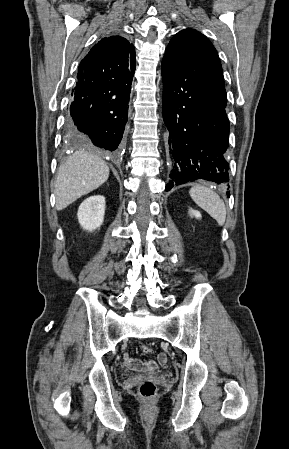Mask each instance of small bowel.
<instances>
[{
    "label": "small bowel",
    "mask_w": 289,
    "mask_h": 449,
    "mask_svg": "<svg viewBox=\"0 0 289 449\" xmlns=\"http://www.w3.org/2000/svg\"><path fill=\"white\" fill-rule=\"evenodd\" d=\"M168 355L166 354V352L161 351L158 354V360H147V361H139L134 359L133 357H131L129 354H124V365L132 370H145V371H153L155 369L158 368V366L160 368H165L166 367V363L168 361Z\"/></svg>",
    "instance_id": "c3829d8e"
}]
</instances>
